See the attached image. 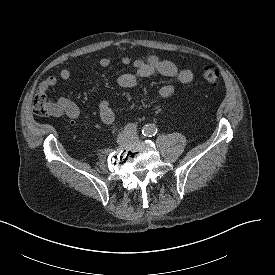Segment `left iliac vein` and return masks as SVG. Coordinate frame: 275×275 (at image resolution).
<instances>
[{
    "instance_id": "left-iliac-vein-1",
    "label": "left iliac vein",
    "mask_w": 275,
    "mask_h": 275,
    "mask_svg": "<svg viewBox=\"0 0 275 275\" xmlns=\"http://www.w3.org/2000/svg\"><path fill=\"white\" fill-rule=\"evenodd\" d=\"M132 140L138 141V140H139V136H138V135H133V136H132Z\"/></svg>"
}]
</instances>
